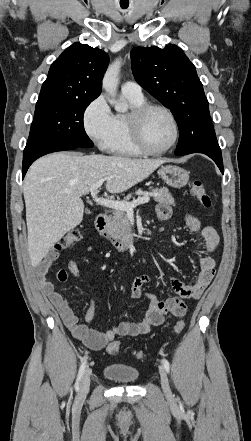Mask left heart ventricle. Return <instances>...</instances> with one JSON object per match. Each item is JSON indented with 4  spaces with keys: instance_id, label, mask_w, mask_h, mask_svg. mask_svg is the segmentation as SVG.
Returning a JSON list of instances; mask_svg holds the SVG:
<instances>
[{
    "instance_id": "left-heart-ventricle-1",
    "label": "left heart ventricle",
    "mask_w": 251,
    "mask_h": 441,
    "mask_svg": "<svg viewBox=\"0 0 251 441\" xmlns=\"http://www.w3.org/2000/svg\"><path fill=\"white\" fill-rule=\"evenodd\" d=\"M143 133L149 146L161 149L172 141L174 129L166 113L160 110H152L143 121Z\"/></svg>"
}]
</instances>
